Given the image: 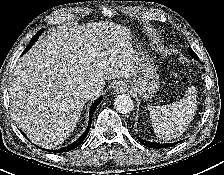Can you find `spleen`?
<instances>
[{
	"label": "spleen",
	"mask_w": 224,
	"mask_h": 175,
	"mask_svg": "<svg viewBox=\"0 0 224 175\" xmlns=\"http://www.w3.org/2000/svg\"><path fill=\"white\" fill-rule=\"evenodd\" d=\"M154 133L162 140L181 136L193 121L197 109L196 88L191 86L179 101L163 106L149 105Z\"/></svg>",
	"instance_id": "spleen-1"
}]
</instances>
